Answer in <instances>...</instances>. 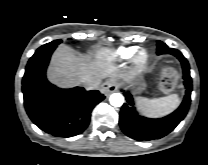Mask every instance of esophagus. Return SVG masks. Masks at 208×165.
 <instances>
[{
  "label": "esophagus",
  "mask_w": 208,
  "mask_h": 165,
  "mask_svg": "<svg viewBox=\"0 0 208 165\" xmlns=\"http://www.w3.org/2000/svg\"><path fill=\"white\" fill-rule=\"evenodd\" d=\"M101 90L107 96L115 92L117 90V84L115 80L108 79L107 81H105L101 86Z\"/></svg>",
  "instance_id": "obj_1"
}]
</instances>
